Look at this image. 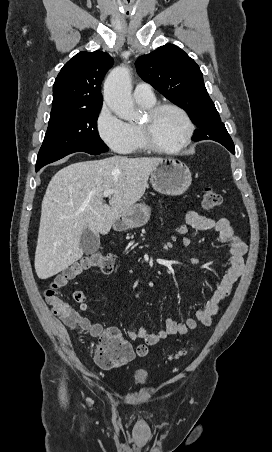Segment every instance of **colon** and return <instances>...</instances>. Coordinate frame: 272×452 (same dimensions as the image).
Here are the masks:
<instances>
[{"instance_id":"obj_1","label":"colon","mask_w":272,"mask_h":452,"mask_svg":"<svg viewBox=\"0 0 272 452\" xmlns=\"http://www.w3.org/2000/svg\"><path fill=\"white\" fill-rule=\"evenodd\" d=\"M202 207L206 211H213L221 206L222 197L213 188L207 187L202 191ZM94 270L103 276H109L114 270V257L110 254L92 253L82 257L60 274H58L44 295L47 303L58 316L70 315L72 308L62 299L59 290L70 281L86 271ZM138 355L147 352L144 346L135 349ZM188 354V349L182 348L170 355V360H179ZM130 347L121 338L101 335L95 353V362L103 368H118L129 361Z\"/></svg>"}]
</instances>
